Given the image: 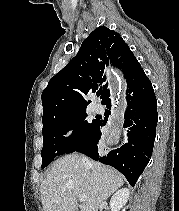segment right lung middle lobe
<instances>
[{
    "label": "right lung middle lobe",
    "instance_id": "dd1d6c3e",
    "mask_svg": "<svg viewBox=\"0 0 179 211\" xmlns=\"http://www.w3.org/2000/svg\"><path fill=\"white\" fill-rule=\"evenodd\" d=\"M86 110L53 118L43 126L42 168L48 166L58 155L74 152L92 135L99 120H86ZM73 129L67 138L64 135Z\"/></svg>",
    "mask_w": 179,
    "mask_h": 211
}]
</instances>
